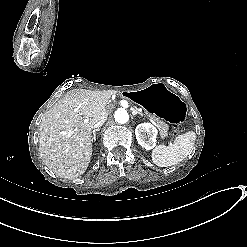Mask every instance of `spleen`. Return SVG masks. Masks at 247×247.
<instances>
[{
    "mask_svg": "<svg viewBox=\"0 0 247 247\" xmlns=\"http://www.w3.org/2000/svg\"><path fill=\"white\" fill-rule=\"evenodd\" d=\"M196 142V134L189 131L178 135L172 145L158 144L151 152L152 162L159 167L173 166L183 161Z\"/></svg>",
    "mask_w": 247,
    "mask_h": 247,
    "instance_id": "3e777b00",
    "label": "spleen"
}]
</instances>
